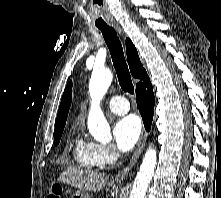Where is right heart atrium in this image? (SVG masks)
Returning <instances> with one entry per match:
<instances>
[{
	"label": "right heart atrium",
	"instance_id": "obj_1",
	"mask_svg": "<svg viewBox=\"0 0 221 198\" xmlns=\"http://www.w3.org/2000/svg\"><path fill=\"white\" fill-rule=\"evenodd\" d=\"M95 149L100 166L113 164L118 159V152L110 144H95Z\"/></svg>",
	"mask_w": 221,
	"mask_h": 198
}]
</instances>
